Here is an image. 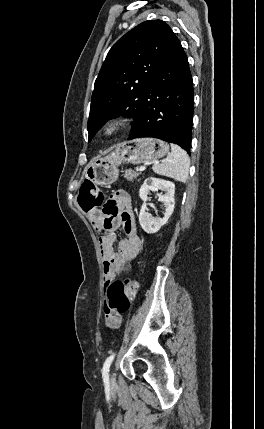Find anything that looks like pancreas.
<instances>
[{
  "label": "pancreas",
  "mask_w": 264,
  "mask_h": 429,
  "mask_svg": "<svg viewBox=\"0 0 264 429\" xmlns=\"http://www.w3.org/2000/svg\"><path fill=\"white\" fill-rule=\"evenodd\" d=\"M124 178H126L128 181H133L134 179H136L139 176V173L132 170V169H128L125 171V174L123 175Z\"/></svg>",
  "instance_id": "1"
}]
</instances>
